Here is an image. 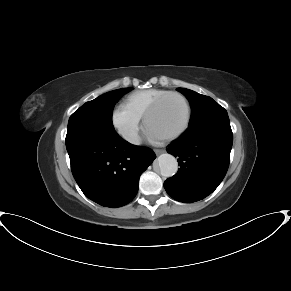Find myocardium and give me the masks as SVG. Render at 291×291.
<instances>
[{"label":"myocardium","mask_w":291,"mask_h":291,"mask_svg":"<svg viewBox=\"0 0 291 291\" xmlns=\"http://www.w3.org/2000/svg\"><path fill=\"white\" fill-rule=\"evenodd\" d=\"M171 96L179 97L184 102L185 107H186V119H185L184 124L176 132L172 133L171 135L161 138L162 141H171L183 135L189 128L191 119H192V110H191V105L188 99L179 92H168L162 95L161 97H159L145 113L144 115L145 127L148 128V124H149V120L151 116L158 110V108L162 105V103Z\"/></svg>","instance_id":"myocardium-1"}]
</instances>
